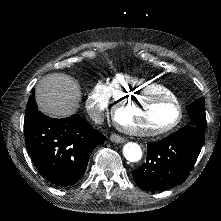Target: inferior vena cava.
Returning <instances> with one entry per match:
<instances>
[{
	"instance_id": "obj_1",
	"label": "inferior vena cava",
	"mask_w": 221,
	"mask_h": 221,
	"mask_svg": "<svg viewBox=\"0 0 221 221\" xmlns=\"http://www.w3.org/2000/svg\"><path fill=\"white\" fill-rule=\"evenodd\" d=\"M93 121L96 124H102L103 121H104V114H103V112L102 111H97L96 116L93 117Z\"/></svg>"
}]
</instances>
